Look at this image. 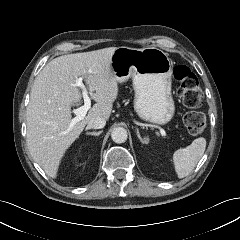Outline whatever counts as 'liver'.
Here are the masks:
<instances>
[{
  "label": "liver",
  "mask_w": 240,
  "mask_h": 240,
  "mask_svg": "<svg viewBox=\"0 0 240 240\" xmlns=\"http://www.w3.org/2000/svg\"><path fill=\"white\" fill-rule=\"evenodd\" d=\"M117 47L69 54L50 61L36 77L26 111L27 144L31 156L45 173L57 177L66 150L87 123L100 116L108 120L118 95L111 57ZM83 77L96 101L88 114L68 131L71 105L80 102L75 80Z\"/></svg>",
  "instance_id": "obj_1"
}]
</instances>
